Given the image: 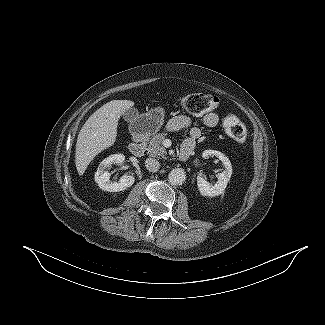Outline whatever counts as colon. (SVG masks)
I'll return each mask as SVG.
<instances>
[{
  "mask_svg": "<svg viewBox=\"0 0 325 325\" xmlns=\"http://www.w3.org/2000/svg\"><path fill=\"white\" fill-rule=\"evenodd\" d=\"M182 108L191 115H201L215 110L219 106V98L211 94L195 93L181 98ZM224 127L228 136L237 143L246 140L247 133L237 115L228 114L224 119Z\"/></svg>",
  "mask_w": 325,
  "mask_h": 325,
  "instance_id": "obj_1",
  "label": "colon"
}]
</instances>
